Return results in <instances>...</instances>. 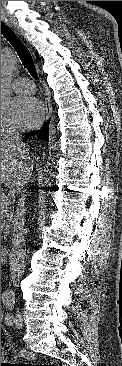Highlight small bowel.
<instances>
[{
  "instance_id": "1",
  "label": "small bowel",
  "mask_w": 122,
  "mask_h": 366,
  "mask_svg": "<svg viewBox=\"0 0 122 366\" xmlns=\"http://www.w3.org/2000/svg\"><path fill=\"white\" fill-rule=\"evenodd\" d=\"M1 262H2V259H1ZM1 319H2V314H1Z\"/></svg>"
}]
</instances>
